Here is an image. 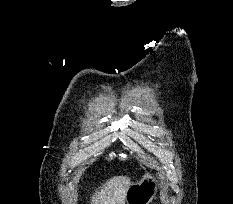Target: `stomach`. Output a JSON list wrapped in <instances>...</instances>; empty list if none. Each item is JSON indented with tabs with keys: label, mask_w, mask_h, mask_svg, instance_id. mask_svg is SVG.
Listing matches in <instances>:
<instances>
[{
	"label": "stomach",
	"mask_w": 233,
	"mask_h": 204,
	"mask_svg": "<svg viewBox=\"0 0 233 204\" xmlns=\"http://www.w3.org/2000/svg\"><path fill=\"white\" fill-rule=\"evenodd\" d=\"M158 180L146 173L138 182L131 183L126 192L125 204H150L157 193Z\"/></svg>",
	"instance_id": "stomach-1"
}]
</instances>
